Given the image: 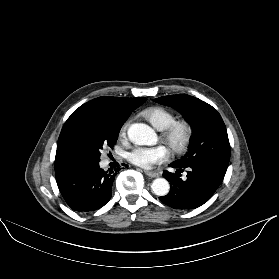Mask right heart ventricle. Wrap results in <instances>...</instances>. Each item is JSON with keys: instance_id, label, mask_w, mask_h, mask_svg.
<instances>
[{"instance_id": "1", "label": "right heart ventricle", "mask_w": 279, "mask_h": 279, "mask_svg": "<svg viewBox=\"0 0 279 279\" xmlns=\"http://www.w3.org/2000/svg\"><path fill=\"white\" fill-rule=\"evenodd\" d=\"M143 116L158 130H163L176 119L173 112L163 107H150L143 111Z\"/></svg>"}]
</instances>
